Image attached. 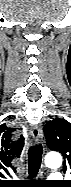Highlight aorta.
I'll return each mask as SVG.
<instances>
[{"label":"aorta","mask_w":71,"mask_h":187,"mask_svg":"<svg viewBox=\"0 0 71 187\" xmlns=\"http://www.w3.org/2000/svg\"><path fill=\"white\" fill-rule=\"evenodd\" d=\"M45 165L49 168H58L62 165V157L57 152L48 153L45 157Z\"/></svg>","instance_id":"aorta-1"}]
</instances>
